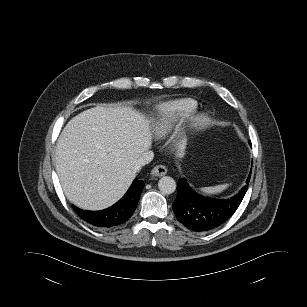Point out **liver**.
<instances>
[{
    "instance_id": "obj_1",
    "label": "liver",
    "mask_w": 307,
    "mask_h": 307,
    "mask_svg": "<svg viewBox=\"0 0 307 307\" xmlns=\"http://www.w3.org/2000/svg\"><path fill=\"white\" fill-rule=\"evenodd\" d=\"M151 121L130 107L97 106L73 117L59 136L56 171L67 199L102 210L117 202L152 144Z\"/></svg>"
}]
</instances>
